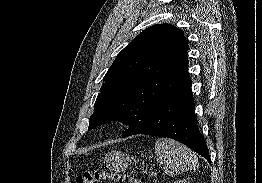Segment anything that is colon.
Listing matches in <instances>:
<instances>
[{"instance_id": "5ec220e1", "label": "colon", "mask_w": 262, "mask_h": 183, "mask_svg": "<svg viewBox=\"0 0 262 183\" xmlns=\"http://www.w3.org/2000/svg\"><path fill=\"white\" fill-rule=\"evenodd\" d=\"M103 181H113L116 183H143L142 180L134 178L129 174L105 170H88L76 178V183H101Z\"/></svg>"}]
</instances>
